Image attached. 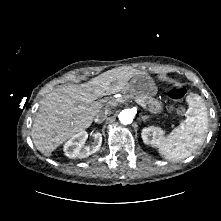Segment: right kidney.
<instances>
[{"label":"right kidney","instance_id":"obj_1","mask_svg":"<svg viewBox=\"0 0 221 221\" xmlns=\"http://www.w3.org/2000/svg\"><path fill=\"white\" fill-rule=\"evenodd\" d=\"M94 142L91 146L84 147V143L88 138L86 131H81L75 134L71 139H69L64 145L65 155L69 158H86L89 155L97 152L102 144V135L99 132L93 134Z\"/></svg>","mask_w":221,"mask_h":221}]
</instances>
